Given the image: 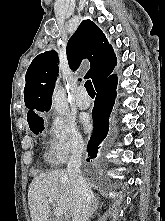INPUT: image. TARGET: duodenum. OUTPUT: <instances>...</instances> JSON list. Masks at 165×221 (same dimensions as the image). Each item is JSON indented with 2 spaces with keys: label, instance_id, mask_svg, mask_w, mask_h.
Instances as JSON below:
<instances>
[{
  "label": "duodenum",
  "instance_id": "410a0bca",
  "mask_svg": "<svg viewBox=\"0 0 165 221\" xmlns=\"http://www.w3.org/2000/svg\"><path fill=\"white\" fill-rule=\"evenodd\" d=\"M47 221H58V220H56V219H48Z\"/></svg>",
  "mask_w": 165,
  "mask_h": 221
}]
</instances>
